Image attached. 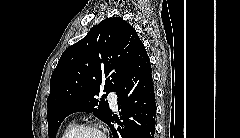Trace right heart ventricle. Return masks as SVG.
<instances>
[{
	"label": "right heart ventricle",
	"mask_w": 240,
	"mask_h": 138,
	"mask_svg": "<svg viewBox=\"0 0 240 138\" xmlns=\"http://www.w3.org/2000/svg\"><path fill=\"white\" fill-rule=\"evenodd\" d=\"M75 128H76L75 125H70V126H68V127L65 129L62 138H67L68 135H69Z\"/></svg>",
	"instance_id": "obj_1"
}]
</instances>
